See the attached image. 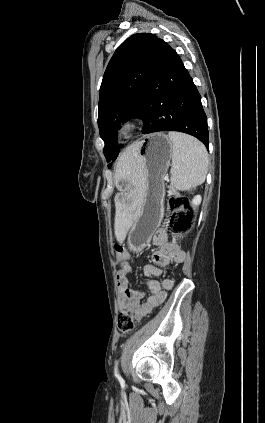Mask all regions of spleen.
I'll return each mask as SVG.
<instances>
[{"mask_svg": "<svg viewBox=\"0 0 265 423\" xmlns=\"http://www.w3.org/2000/svg\"><path fill=\"white\" fill-rule=\"evenodd\" d=\"M173 144L171 184L180 191H192L205 181L208 153L205 146L189 135L171 131Z\"/></svg>", "mask_w": 265, "mask_h": 423, "instance_id": "obj_1", "label": "spleen"}]
</instances>
